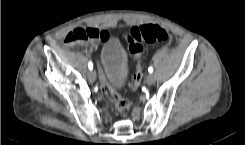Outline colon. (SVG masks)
Here are the masks:
<instances>
[{"instance_id": "5ec220e1", "label": "colon", "mask_w": 245, "mask_h": 145, "mask_svg": "<svg viewBox=\"0 0 245 145\" xmlns=\"http://www.w3.org/2000/svg\"><path fill=\"white\" fill-rule=\"evenodd\" d=\"M99 32L90 27L78 26L73 28L65 37V43L71 44L76 42L91 43L97 39ZM123 41L127 45L129 52L136 60L135 73L130 79L128 86L130 89H136L143 78L144 70L142 57L144 53L143 43H168L171 39L169 31L159 25L145 24L139 27H133L127 30L123 36ZM104 91L107 96L114 102L116 111L119 114L127 113L131 108V102L120 97L115 90L108 84L104 83Z\"/></svg>"}]
</instances>
